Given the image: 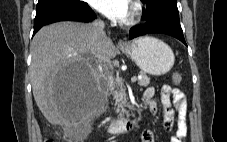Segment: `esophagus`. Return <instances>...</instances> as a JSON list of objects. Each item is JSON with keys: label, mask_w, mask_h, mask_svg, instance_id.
I'll return each mask as SVG.
<instances>
[{"label": "esophagus", "mask_w": 227, "mask_h": 142, "mask_svg": "<svg viewBox=\"0 0 227 142\" xmlns=\"http://www.w3.org/2000/svg\"><path fill=\"white\" fill-rule=\"evenodd\" d=\"M118 46L119 47H126L127 46V43L125 41H123V40H119Z\"/></svg>", "instance_id": "obj_1"}]
</instances>
